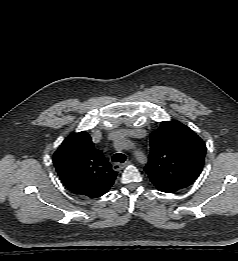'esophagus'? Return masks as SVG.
<instances>
[{
  "label": "esophagus",
  "mask_w": 238,
  "mask_h": 261,
  "mask_svg": "<svg viewBox=\"0 0 238 261\" xmlns=\"http://www.w3.org/2000/svg\"><path fill=\"white\" fill-rule=\"evenodd\" d=\"M130 163V161H125L124 163H114L112 168L115 171H119L121 169H123L124 167H126L128 164Z\"/></svg>",
  "instance_id": "obj_1"
}]
</instances>
